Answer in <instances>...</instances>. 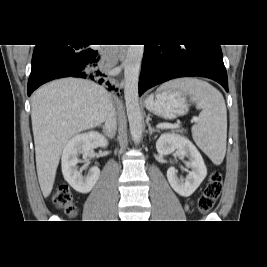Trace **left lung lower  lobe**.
I'll use <instances>...</instances> for the list:
<instances>
[{
  "mask_svg": "<svg viewBox=\"0 0 267 267\" xmlns=\"http://www.w3.org/2000/svg\"><path fill=\"white\" fill-rule=\"evenodd\" d=\"M186 76L213 79L228 91L220 45H145L139 95L155 85Z\"/></svg>",
  "mask_w": 267,
  "mask_h": 267,
  "instance_id": "0a47b994",
  "label": "left lung lower lobe"
}]
</instances>
